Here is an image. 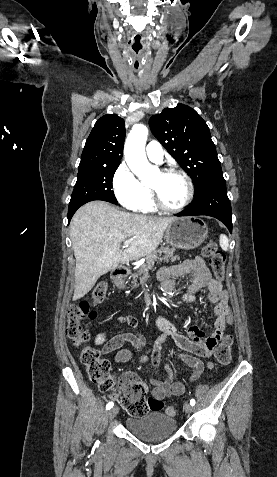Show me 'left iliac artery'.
I'll return each mask as SVG.
<instances>
[{"mask_svg": "<svg viewBox=\"0 0 277 477\" xmlns=\"http://www.w3.org/2000/svg\"><path fill=\"white\" fill-rule=\"evenodd\" d=\"M190 404H191L192 406H194V405H195V400H194V399H191V400H190Z\"/></svg>", "mask_w": 277, "mask_h": 477, "instance_id": "left-iliac-artery-1", "label": "left iliac artery"}]
</instances>
